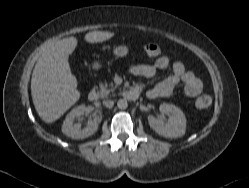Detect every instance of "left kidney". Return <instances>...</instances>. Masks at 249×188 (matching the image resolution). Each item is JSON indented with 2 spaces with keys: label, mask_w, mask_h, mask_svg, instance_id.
<instances>
[{
  "label": "left kidney",
  "mask_w": 249,
  "mask_h": 188,
  "mask_svg": "<svg viewBox=\"0 0 249 188\" xmlns=\"http://www.w3.org/2000/svg\"><path fill=\"white\" fill-rule=\"evenodd\" d=\"M160 111L164 114H171L168 122L156 119L153 116L148 117L150 127L159 135L166 138H177L185 134L186 118L180 108L172 104L163 103L160 105Z\"/></svg>",
  "instance_id": "5707ae66"
}]
</instances>
